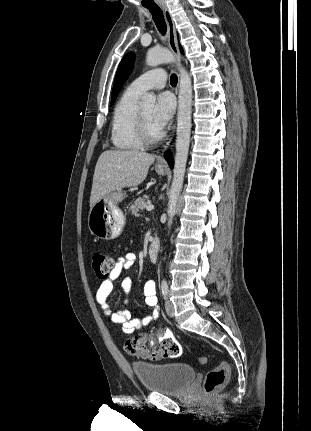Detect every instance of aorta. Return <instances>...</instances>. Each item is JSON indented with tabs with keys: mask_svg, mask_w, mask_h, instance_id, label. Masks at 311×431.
Wrapping results in <instances>:
<instances>
[{
	"mask_svg": "<svg viewBox=\"0 0 311 431\" xmlns=\"http://www.w3.org/2000/svg\"><path fill=\"white\" fill-rule=\"evenodd\" d=\"M171 62H176V60L170 50H155V48H151V50H148L146 54L147 66H159V64H171ZM179 72L180 90L175 144L176 154L173 168V180L169 192L167 208V225L169 229L173 223V217L176 214L179 196L183 188L191 134V78L185 68H179ZM155 104V94H144V96H142V100L140 102L141 108H154Z\"/></svg>",
	"mask_w": 311,
	"mask_h": 431,
	"instance_id": "aorta-1",
	"label": "aorta"
}]
</instances>
